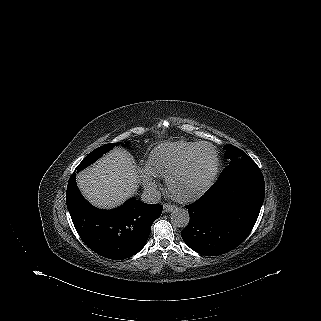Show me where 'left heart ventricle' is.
Returning a JSON list of instances; mask_svg holds the SVG:
<instances>
[{
	"label": "left heart ventricle",
	"instance_id": "left-heart-ventricle-1",
	"mask_svg": "<svg viewBox=\"0 0 321 321\" xmlns=\"http://www.w3.org/2000/svg\"><path fill=\"white\" fill-rule=\"evenodd\" d=\"M215 163L213 150L202 147L194 156L189 168L175 177L173 190L187 195L200 189L209 179Z\"/></svg>",
	"mask_w": 321,
	"mask_h": 321
}]
</instances>
